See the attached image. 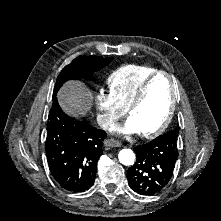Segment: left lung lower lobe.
I'll list each match as a JSON object with an SVG mask.
<instances>
[{
  "mask_svg": "<svg viewBox=\"0 0 221 221\" xmlns=\"http://www.w3.org/2000/svg\"><path fill=\"white\" fill-rule=\"evenodd\" d=\"M134 151L137 160L127 171L129 186L142 195L160 192L173 174L178 157L177 139L160 135Z\"/></svg>",
  "mask_w": 221,
  "mask_h": 221,
  "instance_id": "obj_1",
  "label": "left lung lower lobe"
}]
</instances>
